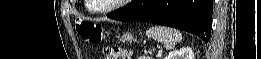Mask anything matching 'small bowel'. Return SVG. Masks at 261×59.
Instances as JSON below:
<instances>
[{"label": "small bowel", "mask_w": 261, "mask_h": 59, "mask_svg": "<svg viewBox=\"0 0 261 59\" xmlns=\"http://www.w3.org/2000/svg\"><path fill=\"white\" fill-rule=\"evenodd\" d=\"M127 59H130L131 58V55L130 56H128V57H126Z\"/></svg>", "instance_id": "obj_1"}]
</instances>
